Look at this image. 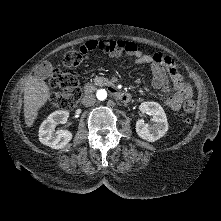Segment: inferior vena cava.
Instances as JSON below:
<instances>
[{
	"label": "inferior vena cava",
	"instance_id": "obj_1",
	"mask_svg": "<svg viewBox=\"0 0 221 221\" xmlns=\"http://www.w3.org/2000/svg\"><path fill=\"white\" fill-rule=\"evenodd\" d=\"M95 102H96V98L93 94H86L82 99V103L86 107H90L94 105Z\"/></svg>",
	"mask_w": 221,
	"mask_h": 221
}]
</instances>
